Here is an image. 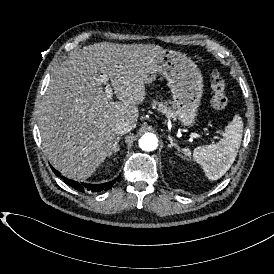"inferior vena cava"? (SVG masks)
Masks as SVG:
<instances>
[{
    "mask_svg": "<svg viewBox=\"0 0 274 274\" xmlns=\"http://www.w3.org/2000/svg\"><path fill=\"white\" fill-rule=\"evenodd\" d=\"M134 124L130 121L119 122L115 125V134L123 135L130 132L134 128Z\"/></svg>",
    "mask_w": 274,
    "mask_h": 274,
    "instance_id": "inferior-vena-cava-1",
    "label": "inferior vena cava"
}]
</instances>
